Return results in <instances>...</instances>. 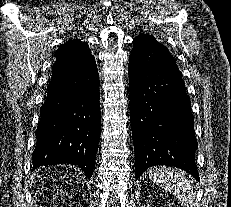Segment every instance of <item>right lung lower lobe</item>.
Returning a JSON list of instances; mask_svg holds the SVG:
<instances>
[{
  "label": "right lung lower lobe",
  "mask_w": 231,
  "mask_h": 207,
  "mask_svg": "<svg viewBox=\"0 0 231 207\" xmlns=\"http://www.w3.org/2000/svg\"><path fill=\"white\" fill-rule=\"evenodd\" d=\"M99 84L93 56L71 71L53 65L36 130L33 169L67 163L92 176L101 127Z\"/></svg>",
  "instance_id": "obj_1"
}]
</instances>
